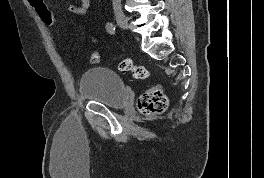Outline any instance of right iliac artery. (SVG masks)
Returning a JSON list of instances; mask_svg holds the SVG:
<instances>
[{
  "label": "right iliac artery",
  "instance_id": "obj_1",
  "mask_svg": "<svg viewBox=\"0 0 264 178\" xmlns=\"http://www.w3.org/2000/svg\"><path fill=\"white\" fill-rule=\"evenodd\" d=\"M106 30L111 35L115 34V26L111 22L106 24Z\"/></svg>",
  "mask_w": 264,
  "mask_h": 178
}]
</instances>
